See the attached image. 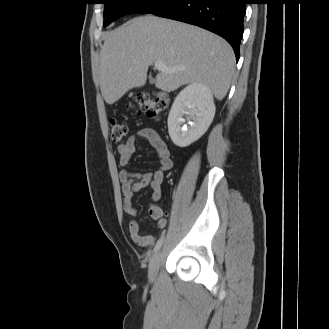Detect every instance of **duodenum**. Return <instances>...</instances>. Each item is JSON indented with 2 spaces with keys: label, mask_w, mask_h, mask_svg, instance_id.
<instances>
[{
  "label": "duodenum",
  "mask_w": 329,
  "mask_h": 329,
  "mask_svg": "<svg viewBox=\"0 0 329 329\" xmlns=\"http://www.w3.org/2000/svg\"><path fill=\"white\" fill-rule=\"evenodd\" d=\"M162 98H163L164 100H166L164 96H162Z\"/></svg>",
  "instance_id": "obj_1"
}]
</instances>
